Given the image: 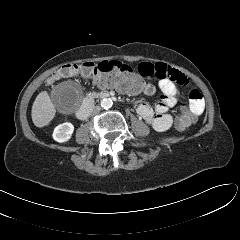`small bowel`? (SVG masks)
<instances>
[{"label":"small bowel","mask_w":240,"mask_h":240,"mask_svg":"<svg viewBox=\"0 0 240 240\" xmlns=\"http://www.w3.org/2000/svg\"><path fill=\"white\" fill-rule=\"evenodd\" d=\"M142 77H154L158 81L162 95L155 107L147 103L138 105L137 114L154 130L162 132L168 130L173 122L168 110L174 107L179 101L180 91L178 86H188L189 80L180 71L165 63L142 62L137 67ZM101 87L106 85L99 84ZM189 110L194 116H199L205 108V101L202 94L192 89L189 92Z\"/></svg>","instance_id":"obj_1"}]
</instances>
